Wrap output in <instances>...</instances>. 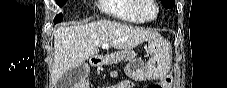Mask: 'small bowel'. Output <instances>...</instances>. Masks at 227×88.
Segmentation results:
<instances>
[{
  "instance_id": "1",
  "label": "small bowel",
  "mask_w": 227,
  "mask_h": 88,
  "mask_svg": "<svg viewBox=\"0 0 227 88\" xmlns=\"http://www.w3.org/2000/svg\"><path fill=\"white\" fill-rule=\"evenodd\" d=\"M171 84H172V79L169 76L162 78L160 81V85L162 86V88H169V87H171ZM116 87L117 88H130L131 83L129 81H122V82L118 83ZM83 88H89V86H84Z\"/></svg>"
}]
</instances>
